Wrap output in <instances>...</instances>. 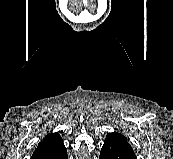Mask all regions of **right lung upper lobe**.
<instances>
[{"label":"right lung upper lobe","mask_w":173,"mask_h":159,"mask_svg":"<svg viewBox=\"0 0 173 159\" xmlns=\"http://www.w3.org/2000/svg\"><path fill=\"white\" fill-rule=\"evenodd\" d=\"M65 148L58 133L47 134L35 149L31 159H47Z\"/></svg>","instance_id":"1"}]
</instances>
